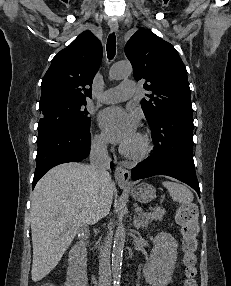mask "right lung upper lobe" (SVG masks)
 <instances>
[{
    "instance_id": "1",
    "label": "right lung upper lobe",
    "mask_w": 231,
    "mask_h": 286,
    "mask_svg": "<svg viewBox=\"0 0 231 286\" xmlns=\"http://www.w3.org/2000/svg\"><path fill=\"white\" fill-rule=\"evenodd\" d=\"M102 60L100 41L90 32L81 33L61 50L42 80L40 106L56 101H86Z\"/></svg>"
}]
</instances>
